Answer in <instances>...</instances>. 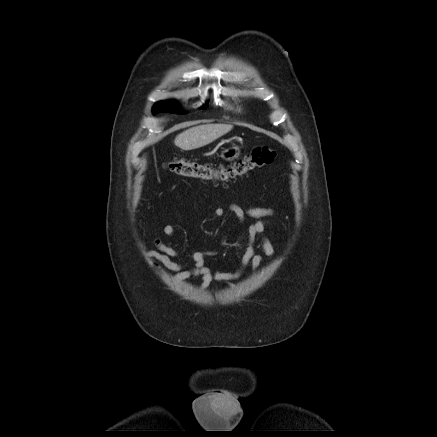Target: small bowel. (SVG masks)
<instances>
[{
    "mask_svg": "<svg viewBox=\"0 0 437 437\" xmlns=\"http://www.w3.org/2000/svg\"><path fill=\"white\" fill-rule=\"evenodd\" d=\"M230 210L234 214L240 225H243L246 218L251 219L247 228L248 244L241 257V263L238 270L229 271H212L206 265L208 257L217 254L216 251H195L190 255L189 262H178L174 258L178 256V251L164 243L160 238L154 239L155 249L149 250L147 255L155 261V264H161L164 268L174 273V280L176 282H183L192 277H199L201 279V289L207 288L212 281L222 282L231 288H234L235 281L239 280L244 273V270L251 266L253 271H256L263 263V256L256 254L255 245L259 241L263 254L271 257L275 254V248L265 232L270 222L267 219L274 214V210L265 207H252L242 209L236 204L230 205ZM226 212L223 207H217L214 210L216 218H223ZM163 233L172 237L175 234V229L172 225L165 224L162 227Z\"/></svg>",
    "mask_w": 437,
    "mask_h": 437,
    "instance_id": "1",
    "label": "small bowel"
}]
</instances>
